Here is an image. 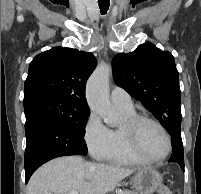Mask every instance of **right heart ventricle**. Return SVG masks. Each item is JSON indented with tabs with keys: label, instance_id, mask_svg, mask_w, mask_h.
Returning a JSON list of instances; mask_svg holds the SVG:
<instances>
[{
	"label": "right heart ventricle",
	"instance_id": "right-heart-ventricle-1",
	"mask_svg": "<svg viewBox=\"0 0 201 194\" xmlns=\"http://www.w3.org/2000/svg\"><path fill=\"white\" fill-rule=\"evenodd\" d=\"M123 114L125 121L137 116L134 109L118 108ZM111 146L103 159L118 165H141L147 163L139 158L129 147L123 125L110 129Z\"/></svg>",
	"mask_w": 201,
	"mask_h": 194
}]
</instances>
